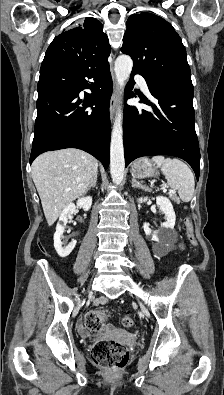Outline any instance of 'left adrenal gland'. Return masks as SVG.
Instances as JSON below:
<instances>
[{
  "label": "left adrenal gland",
  "instance_id": "obj_1",
  "mask_svg": "<svg viewBox=\"0 0 224 395\" xmlns=\"http://www.w3.org/2000/svg\"><path fill=\"white\" fill-rule=\"evenodd\" d=\"M132 187L142 188L144 190L150 191L151 189L146 187L145 185L140 184L134 177L132 178Z\"/></svg>",
  "mask_w": 224,
  "mask_h": 395
}]
</instances>
